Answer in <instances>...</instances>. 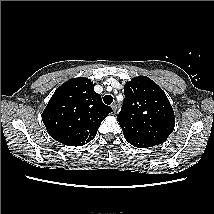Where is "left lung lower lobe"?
<instances>
[{
  "mask_svg": "<svg viewBox=\"0 0 214 214\" xmlns=\"http://www.w3.org/2000/svg\"><path fill=\"white\" fill-rule=\"evenodd\" d=\"M131 145L137 147V148H148V147H152L154 145L149 144V143H144V142H139L136 140H132V139H127L125 138Z\"/></svg>",
  "mask_w": 214,
  "mask_h": 214,
  "instance_id": "obj_1",
  "label": "left lung lower lobe"
}]
</instances>
